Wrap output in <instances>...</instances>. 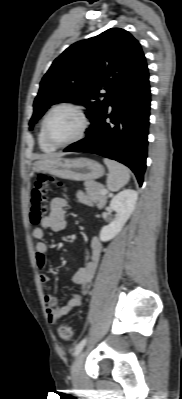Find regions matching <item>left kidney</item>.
<instances>
[{"label":"left kidney","instance_id":"5707ae66","mask_svg":"<svg viewBox=\"0 0 182 399\" xmlns=\"http://www.w3.org/2000/svg\"><path fill=\"white\" fill-rule=\"evenodd\" d=\"M137 199L138 193L133 189L123 190L113 197L110 208L116 212L117 217L102 227L99 236L102 242L110 241L122 230L135 209Z\"/></svg>","mask_w":182,"mask_h":399}]
</instances>
